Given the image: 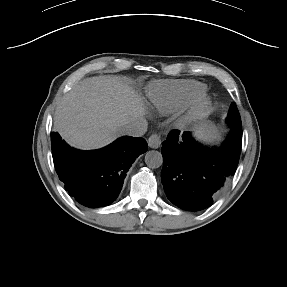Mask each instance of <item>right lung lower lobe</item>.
<instances>
[{
	"instance_id": "obj_1",
	"label": "right lung lower lobe",
	"mask_w": 287,
	"mask_h": 287,
	"mask_svg": "<svg viewBox=\"0 0 287 287\" xmlns=\"http://www.w3.org/2000/svg\"><path fill=\"white\" fill-rule=\"evenodd\" d=\"M51 142L55 169L65 189L91 208L108 206L118 197L130 166L148 149L145 139L129 136L94 151L73 149L58 133L51 134Z\"/></svg>"
}]
</instances>
